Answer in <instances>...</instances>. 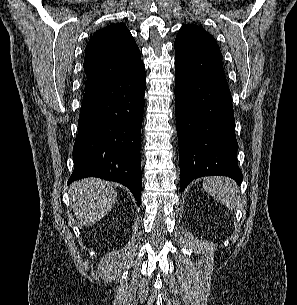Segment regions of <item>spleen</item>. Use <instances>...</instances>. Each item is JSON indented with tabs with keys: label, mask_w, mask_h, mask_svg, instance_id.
<instances>
[{
	"label": "spleen",
	"mask_w": 297,
	"mask_h": 305,
	"mask_svg": "<svg viewBox=\"0 0 297 305\" xmlns=\"http://www.w3.org/2000/svg\"><path fill=\"white\" fill-rule=\"evenodd\" d=\"M203 188L216 200L229 209L236 207L238 202L237 191L228 178L212 177L205 179Z\"/></svg>",
	"instance_id": "3e777b00"
}]
</instances>
